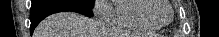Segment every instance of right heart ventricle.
I'll use <instances>...</instances> for the list:
<instances>
[{
	"label": "right heart ventricle",
	"instance_id": "1",
	"mask_svg": "<svg viewBox=\"0 0 219 37\" xmlns=\"http://www.w3.org/2000/svg\"><path fill=\"white\" fill-rule=\"evenodd\" d=\"M144 0H120L114 10L112 26L139 32L156 33L160 28L150 24L142 15Z\"/></svg>",
	"mask_w": 219,
	"mask_h": 37
}]
</instances>
